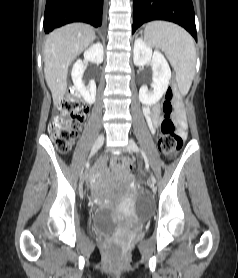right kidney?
<instances>
[{"instance_id": "ca27d5eb", "label": "right kidney", "mask_w": 238, "mask_h": 278, "mask_svg": "<svg viewBox=\"0 0 238 278\" xmlns=\"http://www.w3.org/2000/svg\"><path fill=\"white\" fill-rule=\"evenodd\" d=\"M103 56H104V51L101 43L93 44L84 52V59L94 64H101L103 62ZM84 71H85V67L82 60L80 59L77 60L74 63L71 72L72 81L75 88L83 97V99L88 104H93L96 98V83L94 80H91L89 82V85L86 87L82 82Z\"/></svg>"}]
</instances>
